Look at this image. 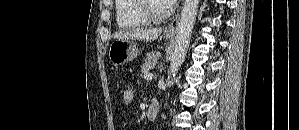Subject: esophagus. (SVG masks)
Segmentation results:
<instances>
[{"label":"esophagus","mask_w":299,"mask_h":130,"mask_svg":"<svg viewBox=\"0 0 299 130\" xmlns=\"http://www.w3.org/2000/svg\"><path fill=\"white\" fill-rule=\"evenodd\" d=\"M180 11H181V7L178 9L175 18L166 27L165 29L166 34H174L176 32L180 20Z\"/></svg>","instance_id":"obj_1"}]
</instances>
